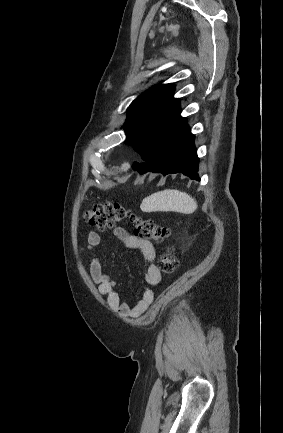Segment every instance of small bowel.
I'll return each mask as SVG.
<instances>
[{"label": "small bowel", "mask_w": 283, "mask_h": 433, "mask_svg": "<svg viewBox=\"0 0 283 433\" xmlns=\"http://www.w3.org/2000/svg\"><path fill=\"white\" fill-rule=\"evenodd\" d=\"M114 235L121 245L128 249H139L146 261L145 280L149 285H157L161 280V274L156 266L155 249L150 241L138 239L130 235L124 228L114 229ZM101 236L99 233L90 231L86 237V246L80 247V253L85 249L93 251L100 243ZM90 275L93 282L97 285L98 292L106 296L110 309L123 318H136L140 316L152 303L154 294L152 290H146L134 306H129L121 300L119 294L115 291L116 281L104 270L101 258L92 253L90 262Z\"/></svg>", "instance_id": "obj_1"}]
</instances>
